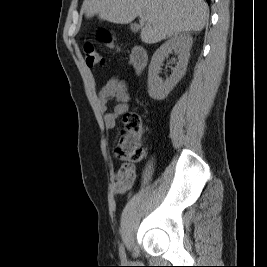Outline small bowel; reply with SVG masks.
I'll return each mask as SVG.
<instances>
[{
    "label": "small bowel",
    "mask_w": 267,
    "mask_h": 267,
    "mask_svg": "<svg viewBox=\"0 0 267 267\" xmlns=\"http://www.w3.org/2000/svg\"><path fill=\"white\" fill-rule=\"evenodd\" d=\"M115 101L112 111H107V104ZM130 94L125 81L118 78L109 79L101 88L98 94L99 108L103 112L104 125L107 129H113L116 126L120 116L126 114L130 107ZM114 185L113 191L116 195H125L131 189L135 175L134 168L124 164L120 170L113 174Z\"/></svg>",
    "instance_id": "c3829d8e"
}]
</instances>
